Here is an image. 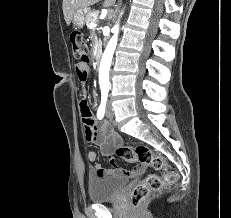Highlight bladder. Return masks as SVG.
<instances>
[{"label":"bladder","instance_id":"1","mask_svg":"<svg viewBox=\"0 0 231 218\" xmlns=\"http://www.w3.org/2000/svg\"><path fill=\"white\" fill-rule=\"evenodd\" d=\"M128 180L120 176H98L88 178V198L92 203H103L116 199Z\"/></svg>","mask_w":231,"mask_h":218}]
</instances>
